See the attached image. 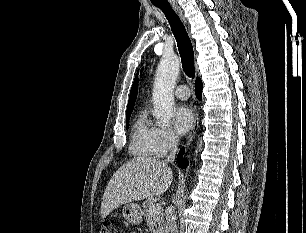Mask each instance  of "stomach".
<instances>
[{"mask_svg": "<svg viewBox=\"0 0 306 233\" xmlns=\"http://www.w3.org/2000/svg\"><path fill=\"white\" fill-rule=\"evenodd\" d=\"M143 213L139 205L134 203H128L123 207V217L129 223L138 225L142 221Z\"/></svg>", "mask_w": 306, "mask_h": 233, "instance_id": "obj_1", "label": "stomach"}]
</instances>
